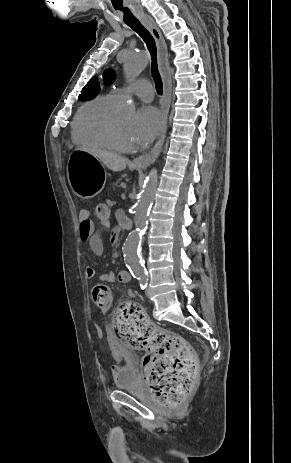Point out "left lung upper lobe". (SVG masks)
<instances>
[{"mask_svg":"<svg viewBox=\"0 0 291 463\" xmlns=\"http://www.w3.org/2000/svg\"><path fill=\"white\" fill-rule=\"evenodd\" d=\"M115 76L114 72L110 69L105 70L103 73V80L105 85H108L113 82ZM100 91V84L97 77H93L89 80L86 86L82 89L81 94L78 97V100L86 101L93 99Z\"/></svg>","mask_w":291,"mask_h":463,"instance_id":"1","label":"left lung upper lobe"}]
</instances>
